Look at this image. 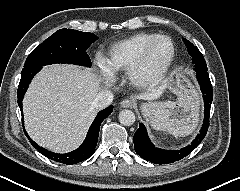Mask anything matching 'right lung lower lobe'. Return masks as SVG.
Segmentation results:
<instances>
[{
    "mask_svg": "<svg viewBox=\"0 0 240 191\" xmlns=\"http://www.w3.org/2000/svg\"><path fill=\"white\" fill-rule=\"evenodd\" d=\"M41 68L42 67H35L26 71H22L21 79H20V83L17 91V98H18L17 102L21 110L22 123H23L22 101H23L24 94L33 76L36 73H38L41 70ZM112 111H113L112 105L100 111L97 117L95 118L94 122L90 126V129L88 131V134L84 143L77 150L72 151L70 153H66V154L53 153L51 151H48L45 148L40 147L37 143H35L32 139L29 138L25 130L24 132L28 137V139L30 140V143L32 144V146L35 149H37L41 154H43L45 157L52 159L56 162H60L67 165L76 164L88 159L94 153L95 147L98 141L100 124L106 117H108L112 113Z\"/></svg>",
    "mask_w": 240,
    "mask_h": 191,
    "instance_id": "1",
    "label": "right lung lower lobe"
}]
</instances>
